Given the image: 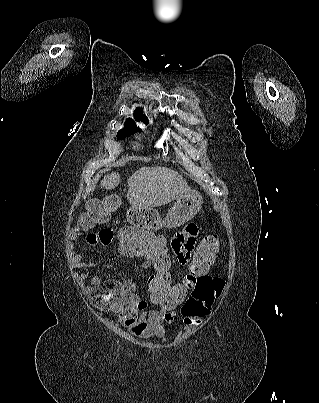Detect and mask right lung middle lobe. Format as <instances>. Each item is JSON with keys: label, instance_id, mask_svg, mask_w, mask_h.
I'll return each mask as SVG.
<instances>
[{"label": "right lung middle lobe", "instance_id": "right-lung-middle-lobe-1", "mask_svg": "<svg viewBox=\"0 0 319 403\" xmlns=\"http://www.w3.org/2000/svg\"><path fill=\"white\" fill-rule=\"evenodd\" d=\"M143 122L148 123V120L143 121ZM137 131L140 132L141 129L136 126V124L134 123V121L126 120L124 129H123V130H120V131L117 133V139H124V138H126V137H129L131 134H133L134 132H137Z\"/></svg>", "mask_w": 319, "mask_h": 403}]
</instances>
